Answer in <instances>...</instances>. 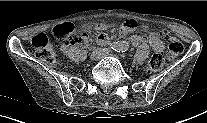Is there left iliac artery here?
<instances>
[{
  "instance_id": "1",
  "label": "left iliac artery",
  "mask_w": 207,
  "mask_h": 123,
  "mask_svg": "<svg viewBox=\"0 0 207 123\" xmlns=\"http://www.w3.org/2000/svg\"><path fill=\"white\" fill-rule=\"evenodd\" d=\"M115 51H117V52H126V50H127V48L126 47H124V48H116V49H114Z\"/></svg>"
}]
</instances>
